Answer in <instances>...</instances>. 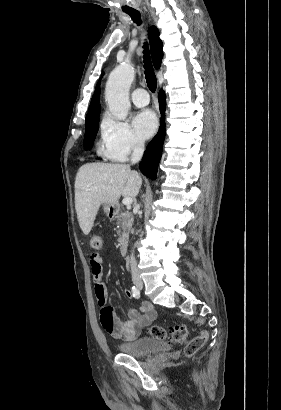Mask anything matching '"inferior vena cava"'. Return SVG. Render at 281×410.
<instances>
[{
    "label": "inferior vena cava",
    "mask_w": 281,
    "mask_h": 410,
    "mask_svg": "<svg viewBox=\"0 0 281 410\" xmlns=\"http://www.w3.org/2000/svg\"><path fill=\"white\" fill-rule=\"evenodd\" d=\"M143 152H144V142L136 141L134 144V149H133V153L131 156V163L132 164L138 163L143 155ZM130 266H131L132 280L134 282L140 281V274L138 272L137 263H136L133 253L130 256Z\"/></svg>",
    "instance_id": "602c4592"
}]
</instances>
